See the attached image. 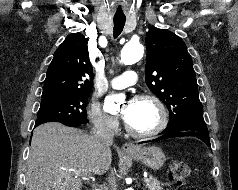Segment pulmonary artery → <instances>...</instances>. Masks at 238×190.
<instances>
[{"mask_svg":"<svg viewBox=\"0 0 238 190\" xmlns=\"http://www.w3.org/2000/svg\"><path fill=\"white\" fill-rule=\"evenodd\" d=\"M137 82V73L132 70L125 71L121 76L112 80L111 86L114 89L120 90L128 86L134 85Z\"/></svg>","mask_w":238,"mask_h":190,"instance_id":"1","label":"pulmonary artery"}]
</instances>
